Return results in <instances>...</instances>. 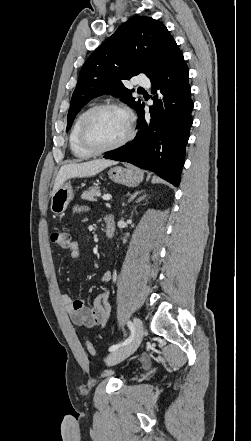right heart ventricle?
<instances>
[{
    "label": "right heart ventricle",
    "mask_w": 251,
    "mask_h": 441,
    "mask_svg": "<svg viewBox=\"0 0 251 441\" xmlns=\"http://www.w3.org/2000/svg\"><path fill=\"white\" fill-rule=\"evenodd\" d=\"M86 111L81 112L75 119L69 134V146L74 157L78 159H88L93 154L86 151L79 143L78 133L81 119Z\"/></svg>",
    "instance_id": "right-heart-ventricle-1"
}]
</instances>
